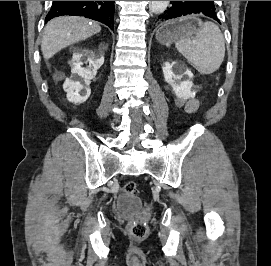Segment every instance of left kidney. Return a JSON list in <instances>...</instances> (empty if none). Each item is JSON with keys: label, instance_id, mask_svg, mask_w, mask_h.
Listing matches in <instances>:
<instances>
[{"label": "left kidney", "instance_id": "1", "mask_svg": "<svg viewBox=\"0 0 271 266\" xmlns=\"http://www.w3.org/2000/svg\"><path fill=\"white\" fill-rule=\"evenodd\" d=\"M162 70L165 81L171 85L173 92L178 98L187 100L193 97V83L190 80L193 74L191 71L177 62H166Z\"/></svg>", "mask_w": 271, "mask_h": 266}]
</instances>
